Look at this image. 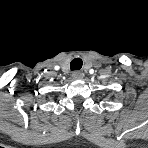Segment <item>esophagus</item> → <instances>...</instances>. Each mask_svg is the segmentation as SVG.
<instances>
[{"label":"esophagus","instance_id":"esophagus-1","mask_svg":"<svg viewBox=\"0 0 148 148\" xmlns=\"http://www.w3.org/2000/svg\"><path fill=\"white\" fill-rule=\"evenodd\" d=\"M83 77H84V74L80 71H74L72 73V78L75 80H81V79H83Z\"/></svg>","mask_w":148,"mask_h":148}]
</instances>
